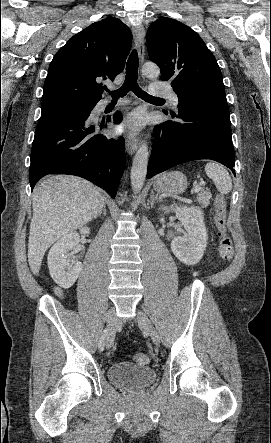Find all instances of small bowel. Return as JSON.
I'll return each instance as SVG.
<instances>
[{
  "instance_id": "c3829d8e",
  "label": "small bowel",
  "mask_w": 271,
  "mask_h": 443,
  "mask_svg": "<svg viewBox=\"0 0 271 443\" xmlns=\"http://www.w3.org/2000/svg\"><path fill=\"white\" fill-rule=\"evenodd\" d=\"M56 294L61 295V291L59 289L55 290Z\"/></svg>"
}]
</instances>
